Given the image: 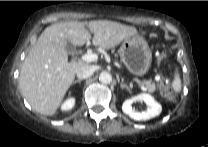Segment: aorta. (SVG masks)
Instances as JSON below:
<instances>
[{"label": "aorta", "mask_w": 208, "mask_h": 147, "mask_svg": "<svg viewBox=\"0 0 208 147\" xmlns=\"http://www.w3.org/2000/svg\"><path fill=\"white\" fill-rule=\"evenodd\" d=\"M99 80L103 84H109L112 82V76L111 74L105 72L100 75Z\"/></svg>", "instance_id": "1"}]
</instances>
